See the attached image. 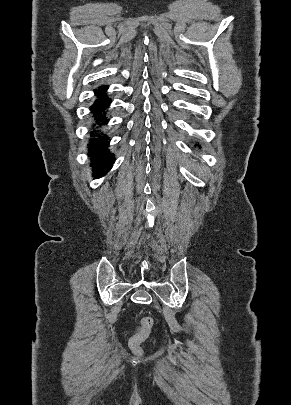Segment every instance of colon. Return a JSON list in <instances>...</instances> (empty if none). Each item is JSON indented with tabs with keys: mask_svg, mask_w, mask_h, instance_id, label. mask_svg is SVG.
Segmentation results:
<instances>
[{
	"mask_svg": "<svg viewBox=\"0 0 291 405\" xmlns=\"http://www.w3.org/2000/svg\"><path fill=\"white\" fill-rule=\"evenodd\" d=\"M154 326L153 318L145 316L140 321L138 331L132 336L129 342L131 350L137 354H142L141 344L150 336Z\"/></svg>",
	"mask_w": 291,
	"mask_h": 405,
	"instance_id": "obj_1",
	"label": "colon"
}]
</instances>
